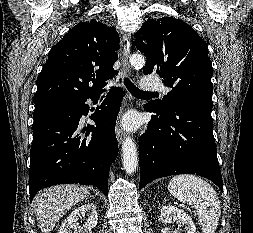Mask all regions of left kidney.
I'll use <instances>...</instances> for the list:
<instances>
[{
  "mask_svg": "<svg viewBox=\"0 0 253 233\" xmlns=\"http://www.w3.org/2000/svg\"><path fill=\"white\" fill-rule=\"evenodd\" d=\"M172 219L176 220L178 224L184 225L187 233H197L194 222L186 212L175 206H162L160 221L167 224Z\"/></svg>",
  "mask_w": 253,
  "mask_h": 233,
  "instance_id": "left-kidney-1",
  "label": "left kidney"
}]
</instances>
